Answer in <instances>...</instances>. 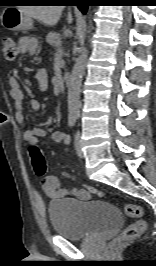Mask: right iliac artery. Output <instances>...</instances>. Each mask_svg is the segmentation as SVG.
<instances>
[{"mask_svg": "<svg viewBox=\"0 0 156 266\" xmlns=\"http://www.w3.org/2000/svg\"><path fill=\"white\" fill-rule=\"evenodd\" d=\"M76 120H77V116L76 115H70L68 117V125L70 127H73L75 125V123H76Z\"/></svg>", "mask_w": 156, "mask_h": 266, "instance_id": "1", "label": "right iliac artery"}]
</instances>
